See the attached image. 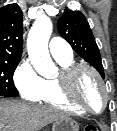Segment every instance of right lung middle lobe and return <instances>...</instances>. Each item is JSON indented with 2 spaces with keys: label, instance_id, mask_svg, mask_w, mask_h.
<instances>
[{
  "label": "right lung middle lobe",
  "instance_id": "obj_1",
  "mask_svg": "<svg viewBox=\"0 0 117 131\" xmlns=\"http://www.w3.org/2000/svg\"><path fill=\"white\" fill-rule=\"evenodd\" d=\"M19 60H0V96L16 97L19 95L14 82L13 74Z\"/></svg>",
  "mask_w": 117,
  "mask_h": 131
}]
</instances>
